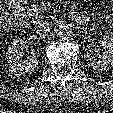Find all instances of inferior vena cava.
<instances>
[{"instance_id":"602c4592","label":"inferior vena cava","mask_w":113,"mask_h":113,"mask_svg":"<svg viewBox=\"0 0 113 113\" xmlns=\"http://www.w3.org/2000/svg\"><path fill=\"white\" fill-rule=\"evenodd\" d=\"M52 24L49 23V22H46V23H41L39 25H37V28H36V33L38 34H46V33H49L52 29Z\"/></svg>"}]
</instances>
